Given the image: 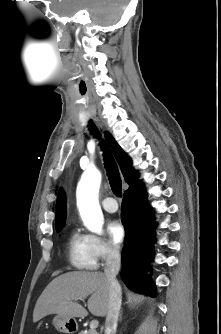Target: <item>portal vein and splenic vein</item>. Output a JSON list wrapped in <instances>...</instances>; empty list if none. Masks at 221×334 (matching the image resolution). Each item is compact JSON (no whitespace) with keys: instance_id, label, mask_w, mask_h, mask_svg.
Wrapping results in <instances>:
<instances>
[{"instance_id":"portal-vein-and-splenic-vein-1","label":"portal vein and splenic vein","mask_w":221,"mask_h":334,"mask_svg":"<svg viewBox=\"0 0 221 334\" xmlns=\"http://www.w3.org/2000/svg\"><path fill=\"white\" fill-rule=\"evenodd\" d=\"M98 324H99L98 320H92L90 322V330H95L97 328Z\"/></svg>"}]
</instances>
